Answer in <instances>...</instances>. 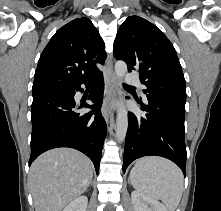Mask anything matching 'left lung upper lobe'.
<instances>
[{
	"label": "left lung upper lobe",
	"mask_w": 221,
	"mask_h": 211,
	"mask_svg": "<svg viewBox=\"0 0 221 211\" xmlns=\"http://www.w3.org/2000/svg\"><path fill=\"white\" fill-rule=\"evenodd\" d=\"M114 56L124 60L128 71H137L147 87L146 97H176L186 100L185 79L176 51L155 25L130 16L120 26L114 41Z\"/></svg>",
	"instance_id": "obj_1"
}]
</instances>
